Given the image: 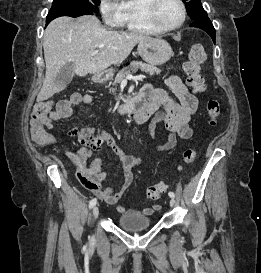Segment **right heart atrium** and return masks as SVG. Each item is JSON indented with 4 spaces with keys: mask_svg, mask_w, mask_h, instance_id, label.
<instances>
[{
    "mask_svg": "<svg viewBox=\"0 0 261 273\" xmlns=\"http://www.w3.org/2000/svg\"><path fill=\"white\" fill-rule=\"evenodd\" d=\"M120 0H99V9L104 21L110 25H117Z\"/></svg>",
    "mask_w": 261,
    "mask_h": 273,
    "instance_id": "right-heart-atrium-1",
    "label": "right heart atrium"
}]
</instances>
